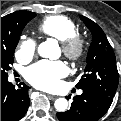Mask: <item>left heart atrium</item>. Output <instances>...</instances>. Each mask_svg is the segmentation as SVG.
<instances>
[{
    "label": "left heart atrium",
    "mask_w": 121,
    "mask_h": 121,
    "mask_svg": "<svg viewBox=\"0 0 121 121\" xmlns=\"http://www.w3.org/2000/svg\"><path fill=\"white\" fill-rule=\"evenodd\" d=\"M66 73L67 68L60 61H40L26 70L25 77L37 88L53 90Z\"/></svg>",
    "instance_id": "1"
}]
</instances>
